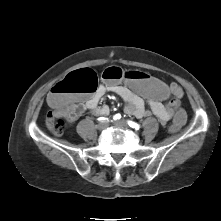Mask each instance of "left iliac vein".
Wrapping results in <instances>:
<instances>
[{"mask_svg": "<svg viewBox=\"0 0 221 221\" xmlns=\"http://www.w3.org/2000/svg\"><path fill=\"white\" fill-rule=\"evenodd\" d=\"M114 125L119 128H124V129L128 128V125L124 120L115 121Z\"/></svg>", "mask_w": 221, "mask_h": 221, "instance_id": "left-iliac-vein-1", "label": "left iliac vein"}]
</instances>
